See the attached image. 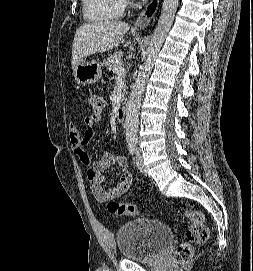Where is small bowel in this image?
I'll return each instance as SVG.
<instances>
[{
  "label": "small bowel",
  "instance_id": "1",
  "mask_svg": "<svg viewBox=\"0 0 253 271\" xmlns=\"http://www.w3.org/2000/svg\"><path fill=\"white\" fill-rule=\"evenodd\" d=\"M100 114H91L84 119L83 133L74 124L68 126V137L73 154L86 166V174L90 181V188L95 199L105 203L125 194L132 182L131 173L123 156L110 152L104 153L98 159H92L84 150L87 144L96 135V126L100 122ZM117 167L119 169V182L116 186L106 191L103 188L105 176L103 172Z\"/></svg>",
  "mask_w": 253,
  "mask_h": 271
}]
</instances>
